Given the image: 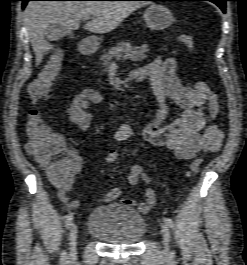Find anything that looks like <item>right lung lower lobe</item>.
<instances>
[{"label":"right lung lower lobe","instance_id":"1","mask_svg":"<svg viewBox=\"0 0 247 265\" xmlns=\"http://www.w3.org/2000/svg\"><path fill=\"white\" fill-rule=\"evenodd\" d=\"M21 1H23L22 8H25L27 2H28V1H31V0H21Z\"/></svg>","mask_w":247,"mask_h":265}]
</instances>
